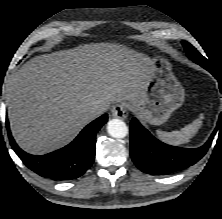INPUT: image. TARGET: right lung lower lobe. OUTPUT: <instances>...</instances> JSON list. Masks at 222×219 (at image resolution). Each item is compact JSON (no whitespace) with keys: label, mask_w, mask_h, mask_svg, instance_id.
<instances>
[{"label":"right lung lower lobe","mask_w":222,"mask_h":219,"mask_svg":"<svg viewBox=\"0 0 222 219\" xmlns=\"http://www.w3.org/2000/svg\"><path fill=\"white\" fill-rule=\"evenodd\" d=\"M104 114L88 124L67 146L40 156H32L14 141L6 121L10 144L23 163L38 175L52 180H70L83 175L92 165L96 151V134L107 122Z\"/></svg>","instance_id":"98d812e1"}]
</instances>
